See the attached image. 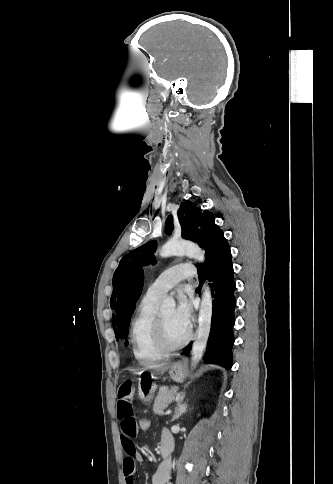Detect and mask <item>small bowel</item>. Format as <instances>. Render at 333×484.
<instances>
[{
  "label": "small bowel",
  "instance_id": "1",
  "mask_svg": "<svg viewBox=\"0 0 333 484\" xmlns=\"http://www.w3.org/2000/svg\"><path fill=\"white\" fill-rule=\"evenodd\" d=\"M135 385L131 381L120 384L117 392L116 415L121 427V443L126 454L123 459V472L126 484H135L136 462H142L143 456L137 452L134 439L138 435L137 418L134 409ZM168 440L172 443V436L168 430H163L160 442ZM171 463L160 464L153 475L152 484H173L170 481Z\"/></svg>",
  "mask_w": 333,
  "mask_h": 484
}]
</instances>
